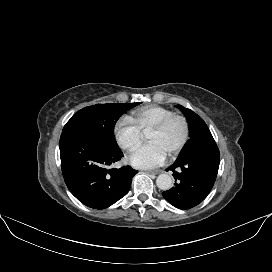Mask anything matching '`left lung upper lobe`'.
I'll list each match as a JSON object with an SVG mask.
<instances>
[{
  "label": "left lung upper lobe",
  "instance_id": "5c2ea615",
  "mask_svg": "<svg viewBox=\"0 0 272 272\" xmlns=\"http://www.w3.org/2000/svg\"><path fill=\"white\" fill-rule=\"evenodd\" d=\"M176 107L184 114L189 125L190 139L181 151V156L205 145L215 143L209 128L200 116L181 105H176Z\"/></svg>",
  "mask_w": 272,
  "mask_h": 272
}]
</instances>
